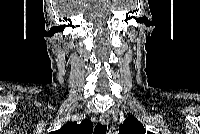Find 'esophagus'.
<instances>
[{"label":"esophagus","instance_id":"1","mask_svg":"<svg viewBox=\"0 0 200 134\" xmlns=\"http://www.w3.org/2000/svg\"><path fill=\"white\" fill-rule=\"evenodd\" d=\"M109 120H110V116H109L108 113L101 114V116H100V122H101V124L107 125L109 123Z\"/></svg>","mask_w":200,"mask_h":134}]
</instances>
